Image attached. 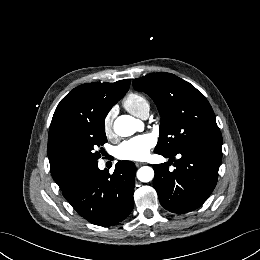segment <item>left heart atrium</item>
<instances>
[{"instance_id":"39dd6f15","label":"left heart atrium","mask_w":260,"mask_h":260,"mask_svg":"<svg viewBox=\"0 0 260 260\" xmlns=\"http://www.w3.org/2000/svg\"><path fill=\"white\" fill-rule=\"evenodd\" d=\"M155 145V138L150 134L136 136L120 144L116 150V157L122 160L141 161L148 157Z\"/></svg>"}]
</instances>
